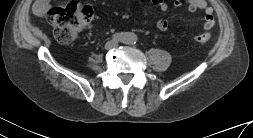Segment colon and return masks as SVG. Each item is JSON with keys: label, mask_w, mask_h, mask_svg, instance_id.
Returning <instances> with one entry per match:
<instances>
[{"label": "colon", "mask_w": 253, "mask_h": 138, "mask_svg": "<svg viewBox=\"0 0 253 138\" xmlns=\"http://www.w3.org/2000/svg\"><path fill=\"white\" fill-rule=\"evenodd\" d=\"M93 16L90 5L74 1L65 7H54L47 11L46 18L54 26V35L59 42L74 41ZM211 39L210 32H204L192 38L197 45H204Z\"/></svg>", "instance_id": "colon-1"}]
</instances>
